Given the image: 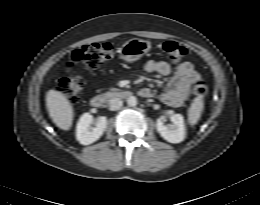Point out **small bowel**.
Masks as SVG:
<instances>
[{
    "label": "small bowel",
    "instance_id": "c3829d8e",
    "mask_svg": "<svg viewBox=\"0 0 260 205\" xmlns=\"http://www.w3.org/2000/svg\"><path fill=\"white\" fill-rule=\"evenodd\" d=\"M145 70L150 74L169 76L166 88L160 95V100L169 107H180L189 95L190 87L200 79V74L190 62H182L172 69L166 61L150 60L145 64ZM143 97H149L148 88L140 90Z\"/></svg>",
    "mask_w": 260,
    "mask_h": 205
}]
</instances>
